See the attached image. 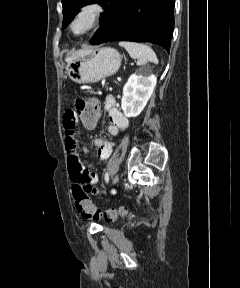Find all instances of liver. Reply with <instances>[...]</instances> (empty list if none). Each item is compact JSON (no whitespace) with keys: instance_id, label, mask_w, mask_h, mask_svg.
<instances>
[{"instance_id":"6515ba94","label":"liver","mask_w":240,"mask_h":288,"mask_svg":"<svg viewBox=\"0 0 240 288\" xmlns=\"http://www.w3.org/2000/svg\"><path fill=\"white\" fill-rule=\"evenodd\" d=\"M85 52V50H79L77 52H75L71 58L82 55ZM70 58H68L67 60H69Z\"/></svg>"}]
</instances>
